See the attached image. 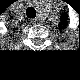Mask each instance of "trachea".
Listing matches in <instances>:
<instances>
[{"instance_id":"trachea-1","label":"trachea","mask_w":80,"mask_h":80,"mask_svg":"<svg viewBox=\"0 0 80 80\" xmlns=\"http://www.w3.org/2000/svg\"><path fill=\"white\" fill-rule=\"evenodd\" d=\"M26 12H27V16H28L29 18H35V16H36V11H35L34 8L29 7Z\"/></svg>"}]
</instances>
